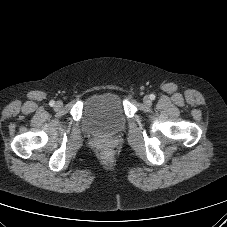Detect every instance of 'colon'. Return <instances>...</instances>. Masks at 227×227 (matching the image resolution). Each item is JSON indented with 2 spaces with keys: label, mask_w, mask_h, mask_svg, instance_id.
<instances>
[{
  "label": "colon",
  "mask_w": 227,
  "mask_h": 227,
  "mask_svg": "<svg viewBox=\"0 0 227 227\" xmlns=\"http://www.w3.org/2000/svg\"><path fill=\"white\" fill-rule=\"evenodd\" d=\"M105 156H106V157L110 156V153H109L108 151L105 152Z\"/></svg>",
  "instance_id": "1"
}]
</instances>
